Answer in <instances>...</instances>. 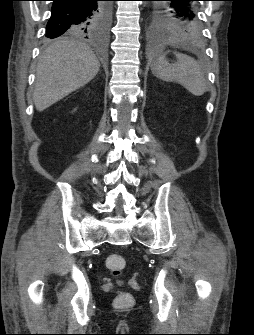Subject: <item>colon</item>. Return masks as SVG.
<instances>
[{
  "mask_svg": "<svg viewBox=\"0 0 254 335\" xmlns=\"http://www.w3.org/2000/svg\"><path fill=\"white\" fill-rule=\"evenodd\" d=\"M106 266L114 277H121L125 267L126 261L120 254L113 253L106 258ZM133 297L128 292H120L115 298V304L118 307H129L133 304Z\"/></svg>",
  "mask_w": 254,
  "mask_h": 335,
  "instance_id": "obj_1",
  "label": "colon"
}]
</instances>
